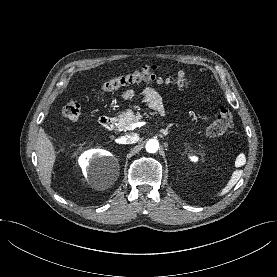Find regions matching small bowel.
I'll list each match as a JSON object with an SVG mask.
<instances>
[{
	"instance_id": "1",
	"label": "small bowel",
	"mask_w": 277,
	"mask_h": 277,
	"mask_svg": "<svg viewBox=\"0 0 277 277\" xmlns=\"http://www.w3.org/2000/svg\"><path fill=\"white\" fill-rule=\"evenodd\" d=\"M134 93L135 92H134L133 89L126 90L122 94V98L123 99H129V98L133 97ZM143 95H144L145 100L148 102L151 109L158 112L159 114L164 113V107H163L161 97L155 89H153L151 87H146L143 90Z\"/></svg>"
}]
</instances>
